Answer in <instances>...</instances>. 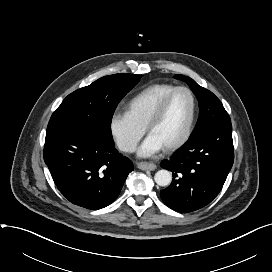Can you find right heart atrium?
Wrapping results in <instances>:
<instances>
[{"mask_svg":"<svg viewBox=\"0 0 272 272\" xmlns=\"http://www.w3.org/2000/svg\"><path fill=\"white\" fill-rule=\"evenodd\" d=\"M109 131L117 147L131 153L143 137L145 128L138 125L127 112L115 111L109 120Z\"/></svg>","mask_w":272,"mask_h":272,"instance_id":"right-heart-atrium-1","label":"right heart atrium"}]
</instances>
